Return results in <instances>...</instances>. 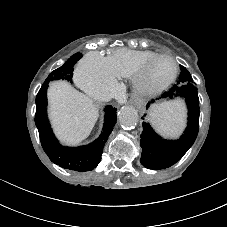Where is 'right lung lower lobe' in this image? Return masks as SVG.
Returning <instances> with one entry per match:
<instances>
[{
  "instance_id": "obj_1",
  "label": "right lung lower lobe",
  "mask_w": 227,
  "mask_h": 227,
  "mask_svg": "<svg viewBox=\"0 0 227 227\" xmlns=\"http://www.w3.org/2000/svg\"><path fill=\"white\" fill-rule=\"evenodd\" d=\"M47 86H42L36 96L35 124L39 131L41 145L50 160L62 168L85 172L97 167L101 160L104 144L116 123V109L105 107L103 131L98 139L89 145L65 147L54 136L47 118Z\"/></svg>"
}]
</instances>
